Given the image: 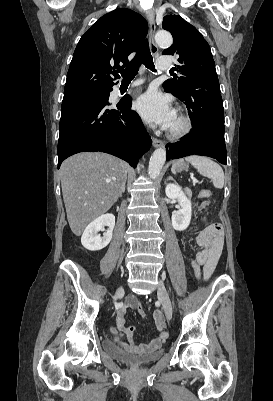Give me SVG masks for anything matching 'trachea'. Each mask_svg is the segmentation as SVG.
Segmentation results:
<instances>
[{"label": "trachea", "instance_id": "3493384b", "mask_svg": "<svg viewBox=\"0 0 273 401\" xmlns=\"http://www.w3.org/2000/svg\"><path fill=\"white\" fill-rule=\"evenodd\" d=\"M145 65L146 68L155 71V66L153 63V58L149 50V44L147 40H144L136 52L135 57L130 62L126 70L121 72L123 81H131L139 70L141 64Z\"/></svg>", "mask_w": 273, "mask_h": 401}]
</instances>
